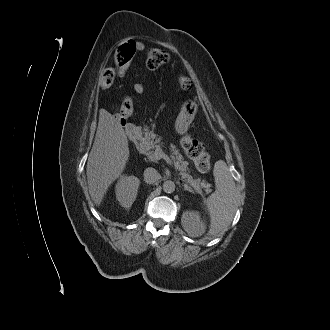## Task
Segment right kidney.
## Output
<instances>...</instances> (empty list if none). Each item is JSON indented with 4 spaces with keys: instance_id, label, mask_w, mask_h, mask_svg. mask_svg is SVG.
<instances>
[{
    "instance_id": "ca27d5eb",
    "label": "right kidney",
    "mask_w": 330,
    "mask_h": 330,
    "mask_svg": "<svg viewBox=\"0 0 330 330\" xmlns=\"http://www.w3.org/2000/svg\"><path fill=\"white\" fill-rule=\"evenodd\" d=\"M140 180L135 176L122 175L116 184V198L125 208L131 207L136 199Z\"/></svg>"
}]
</instances>
